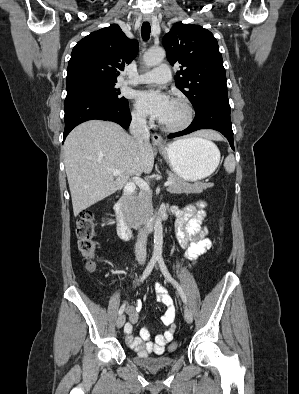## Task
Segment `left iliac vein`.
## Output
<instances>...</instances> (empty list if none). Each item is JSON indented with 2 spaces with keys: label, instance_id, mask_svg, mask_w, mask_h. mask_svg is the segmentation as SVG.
I'll return each instance as SVG.
<instances>
[{
  "label": "left iliac vein",
  "instance_id": "4c4485c4",
  "mask_svg": "<svg viewBox=\"0 0 299 394\" xmlns=\"http://www.w3.org/2000/svg\"><path fill=\"white\" fill-rule=\"evenodd\" d=\"M184 318L187 323H192L193 321V315L187 307L184 308Z\"/></svg>",
  "mask_w": 299,
  "mask_h": 394
}]
</instances>
